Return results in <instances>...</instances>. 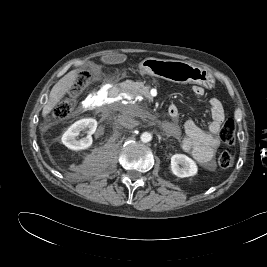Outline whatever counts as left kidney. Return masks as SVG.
I'll list each match as a JSON object with an SVG mask.
<instances>
[{
	"instance_id": "obj_1",
	"label": "left kidney",
	"mask_w": 267,
	"mask_h": 267,
	"mask_svg": "<svg viewBox=\"0 0 267 267\" xmlns=\"http://www.w3.org/2000/svg\"><path fill=\"white\" fill-rule=\"evenodd\" d=\"M170 165L172 173L180 178L195 176L198 172L195 161L185 154L173 155Z\"/></svg>"
}]
</instances>
